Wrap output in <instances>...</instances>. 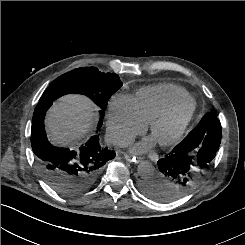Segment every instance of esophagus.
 I'll list each match as a JSON object with an SVG mask.
<instances>
[{
    "mask_svg": "<svg viewBox=\"0 0 245 245\" xmlns=\"http://www.w3.org/2000/svg\"><path fill=\"white\" fill-rule=\"evenodd\" d=\"M124 158H125L128 162H130V163H132V164H138V163L142 162V158L136 157V156H133V155H129V154H126V155L124 156Z\"/></svg>",
    "mask_w": 245,
    "mask_h": 245,
    "instance_id": "obj_1",
    "label": "esophagus"
}]
</instances>
